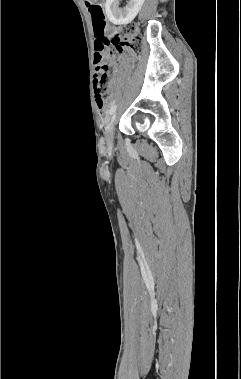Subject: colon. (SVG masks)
Returning <instances> with one entry per match:
<instances>
[{
	"mask_svg": "<svg viewBox=\"0 0 241 379\" xmlns=\"http://www.w3.org/2000/svg\"><path fill=\"white\" fill-rule=\"evenodd\" d=\"M93 21L95 42V78L94 90L96 103L100 111L107 112L112 103V91L109 83V69L115 53L127 48L138 53L141 48V37L135 24L123 25L111 40L102 38L106 27L105 11L101 4H88Z\"/></svg>",
	"mask_w": 241,
	"mask_h": 379,
	"instance_id": "obj_1",
	"label": "colon"
}]
</instances>
